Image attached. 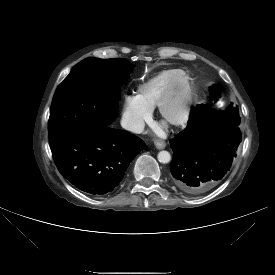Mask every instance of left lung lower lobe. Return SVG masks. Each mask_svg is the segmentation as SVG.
<instances>
[{
    "label": "left lung lower lobe",
    "instance_id": "left-lung-lower-lobe-1",
    "mask_svg": "<svg viewBox=\"0 0 275 275\" xmlns=\"http://www.w3.org/2000/svg\"><path fill=\"white\" fill-rule=\"evenodd\" d=\"M241 140L239 126L216 120L190 121L170 140L173 183L190 195L212 189L230 170Z\"/></svg>",
    "mask_w": 275,
    "mask_h": 275
}]
</instances>
